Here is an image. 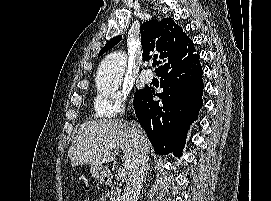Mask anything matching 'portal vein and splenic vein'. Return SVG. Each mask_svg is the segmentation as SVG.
I'll use <instances>...</instances> for the list:
<instances>
[{
    "mask_svg": "<svg viewBox=\"0 0 271 201\" xmlns=\"http://www.w3.org/2000/svg\"><path fill=\"white\" fill-rule=\"evenodd\" d=\"M111 148L114 149V150H116V148L114 146L111 147ZM125 175H126L125 169L124 168H119V170H118V176L120 178H123V177H125Z\"/></svg>",
    "mask_w": 271,
    "mask_h": 201,
    "instance_id": "18ae733b",
    "label": "portal vein and splenic vein"
}]
</instances>
